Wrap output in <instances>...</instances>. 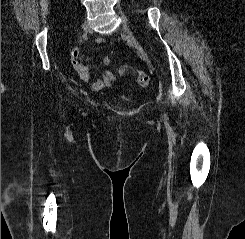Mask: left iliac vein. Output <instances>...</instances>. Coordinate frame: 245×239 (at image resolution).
<instances>
[{
    "label": "left iliac vein",
    "instance_id": "left-iliac-vein-1",
    "mask_svg": "<svg viewBox=\"0 0 245 239\" xmlns=\"http://www.w3.org/2000/svg\"><path fill=\"white\" fill-rule=\"evenodd\" d=\"M121 34L123 37H125L129 42H131L135 48L138 50V52L141 54V56L150 64H151V61L147 55V53L144 51L143 47L140 45V43L138 42V40L134 37V35L132 34V32L124 27L121 31Z\"/></svg>",
    "mask_w": 245,
    "mask_h": 239
}]
</instances>
